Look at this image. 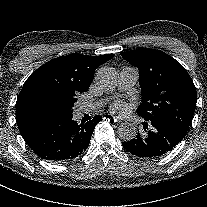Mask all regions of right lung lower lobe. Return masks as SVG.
<instances>
[{"instance_id":"right-lung-lower-lobe-1","label":"right lung lower lobe","mask_w":207,"mask_h":207,"mask_svg":"<svg viewBox=\"0 0 207 207\" xmlns=\"http://www.w3.org/2000/svg\"><path fill=\"white\" fill-rule=\"evenodd\" d=\"M101 120L102 117L96 115L92 120L78 124L71 115L22 137L42 159L55 163L67 162L87 149L93 130Z\"/></svg>"}]
</instances>
